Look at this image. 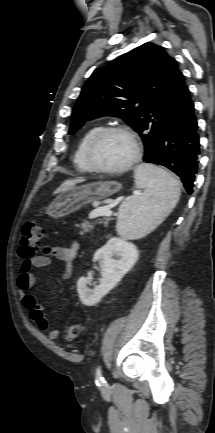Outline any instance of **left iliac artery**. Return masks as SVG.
<instances>
[{"mask_svg":"<svg viewBox=\"0 0 215 433\" xmlns=\"http://www.w3.org/2000/svg\"><path fill=\"white\" fill-rule=\"evenodd\" d=\"M95 375H96V381L97 382H105L104 378L102 377V371H101V367L100 366L97 367Z\"/></svg>","mask_w":215,"mask_h":433,"instance_id":"44dca946","label":"left iliac artery"}]
</instances>
